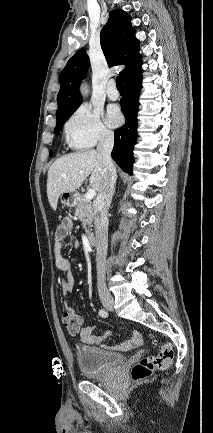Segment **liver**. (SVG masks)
Masks as SVG:
<instances>
[{
    "mask_svg": "<svg viewBox=\"0 0 213 433\" xmlns=\"http://www.w3.org/2000/svg\"><path fill=\"white\" fill-rule=\"evenodd\" d=\"M89 175L90 186L99 193L103 181V161L96 150L75 152L55 160L47 177V196L51 207L56 209L59 196L78 189Z\"/></svg>",
    "mask_w": 213,
    "mask_h": 433,
    "instance_id": "liver-1",
    "label": "liver"
}]
</instances>
